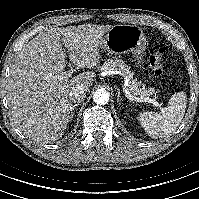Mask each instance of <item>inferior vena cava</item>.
<instances>
[{"label":"inferior vena cava","instance_id":"inferior-vena-cava-1","mask_svg":"<svg viewBox=\"0 0 199 199\" xmlns=\"http://www.w3.org/2000/svg\"><path fill=\"white\" fill-rule=\"evenodd\" d=\"M87 89L83 85L73 87L69 92V99L74 102H81L86 97Z\"/></svg>","mask_w":199,"mask_h":199}]
</instances>
